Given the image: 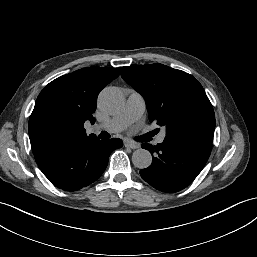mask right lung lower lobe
<instances>
[{
    "instance_id": "right-lung-lower-lobe-1",
    "label": "right lung lower lobe",
    "mask_w": 257,
    "mask_h": 257,
    "mask_svg": "<svg viewBox=\"0 0 257 257\" xmlns=\"http://www.w3.org/2000/svg\"><path fill=\"white\" fill-rule=\"evenodd\" d=\"M122 146V140L117 138L100 140L93 137L39 157L36 162L56 187L76 191L96 181L106 169L111 152Z\"/></svg>"
}]
</instances>
